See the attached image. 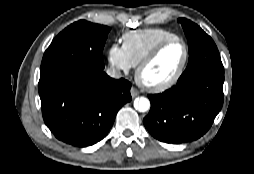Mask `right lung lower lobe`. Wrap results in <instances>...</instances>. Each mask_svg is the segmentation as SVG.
<instances>
[{"mask_svg":"<svg viewBox=\"0 0 254 174\" xmlns=\"http://www.w3.org/2000/svg\"><path fill=\"white\" fill-rule=\"evenodd\" d=\"M131 84L103 70H79L39 85L43 119L55 137L76 147L102 140L118 110L131 101Z\"/></svg>","mask_w":254,"mask_h":174,"instance_id":"obj_1","label":"right lung lower lobe"}]
</instances>
